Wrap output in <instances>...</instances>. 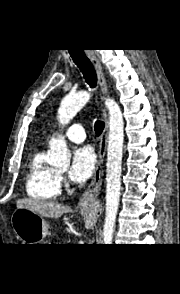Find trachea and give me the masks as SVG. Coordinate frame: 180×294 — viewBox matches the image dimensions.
<instances>
[{
    "mask_svg": "<svg viewBox=\"0 0 180 294\" xmlns=\"http://www.w3.org/2000/svg\"><path fill=\"white\" fill-rule=\"evenodd\" d=\"M74 63L79 67L80 71L83 73L84 79L89 84L91 88L96 87L97 77L93 65L86 57L83 49H76L69 51ZM104 122L96 121L94 125L96 135H100L104 129Z\"/></svg>",
    "mask_w": 180,
    "mask_h": 294,
    "instance_id": "3493384b",
    "label": "trachea"
}]
</instances>
